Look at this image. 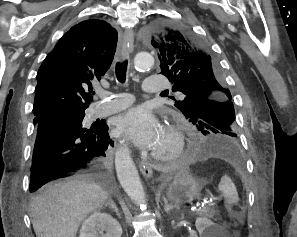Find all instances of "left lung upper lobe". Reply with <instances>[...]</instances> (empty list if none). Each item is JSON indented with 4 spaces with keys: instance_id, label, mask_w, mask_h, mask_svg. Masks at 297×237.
<instances>
[{
    "instance_id": "obj_1",
    "label": "left lung upper lobe",
    "mask_w": 297,
    "mask_h": 237,
    "mask_svg": "<svg viewBox=\"0 0 297 237\" xmlns=\"http://www.w3.org/2000/svg\"><path fill=\"white\" fill-rule=\"evenodd\" d=\"M151 38L161 62V74L174 83V91L184 94L175 106L202 134L220 135L237 147L231 93L208 45L168 25L156 28Z\"/></svg>"
}]
</instances>
